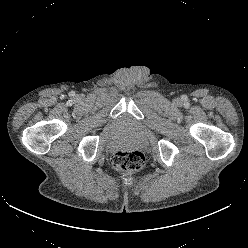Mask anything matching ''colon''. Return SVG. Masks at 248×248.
Masks as SVG:
<instances>
[{
  "instance_id": "1",
  "label": "colon",
  "mask_w": 248,
  "mask_h": 248,
  "mask_svg": "<svg viewBox=\"0 0 248 248\" xmlns=\"http://www.w3.org/2000/svg\"><path fill=\"white\" fill-rule=\"evenodd\" d=\"M145 163L144 155L133 149H121L112 156L114 168L122 172H134L140 170Z\"/></svg>"
}]
</instances>
